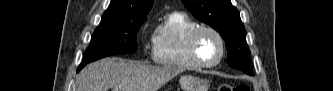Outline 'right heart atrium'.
<instances>
[{"instance_id":"1","label":"right heart atrium","mask_w":333,"mask_h":91,"mask_svg":"<svg viewBox=\"0 0 333 91\" xmlns=\"http://www.w3.org/2000/svg\"><path fill=\"white\" fill-rule=\"evenodd\" d=\"M146 27H147V24L144 25V28H146Z\"/></svg>"}]
</instances>
